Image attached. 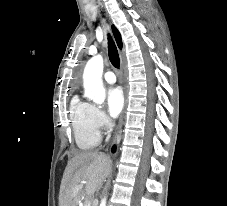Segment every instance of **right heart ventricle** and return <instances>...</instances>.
<instances>
[{
	"label": "right heart ventricle",
	"mask_w": 227,
	"mask_h": 206,
	"mask_svg": "<svg viewBox=\"0 0 227 206\" xmlns=\"http://www.w3.org/2000/svg\"><path fill=\"white\" fill-rule=\"evenodd\" d=\"M93 106L82 102L77 96L70 102V119L75 142L79 149L90 150L97 146L100 140L99 131L92 121Z\"/></svg>",
	"instance_id": "obj_1"
}]
</instances>
